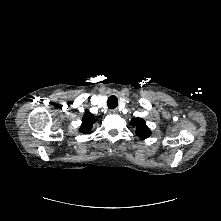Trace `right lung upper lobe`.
<instances>
[{
  "instance_id": "cb5924a9",
  "label": "right lung upper lobe",
  "mask_w": 221,
  "mask_h": 221,
  "mask_svg": "<svg viewBox=\"0 0 221 221\" xmlns=\"http://www.w3.org/2000/svg\"><path fill=\"white\" fill-rule=\"evenodd\" d=\"M96 122V119L94 118L93 114L90 112H86L84 117L82 118V124L79 128V131H81L84 134H90L92 131L93 124Z\"/></svg>"
}]
</instances>
